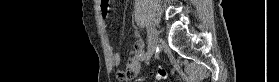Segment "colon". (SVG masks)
<instances>
[{
	"instance_id": "5ec220e1",
	"label": "colon",
	"mask_w": 279,
	"mask_h": 82,
	"mask_svg": "<svg viewBox=\"0 0 279 82\" xmlns=\"http://www.w3.org/2000/svg\"><path fill=\"white\" fill-rule=\"evenodd\" d=\"M158 74L162 77V78H167V73L164 69L159 68L158 69Z\"/></svg>"
}]
</instances>
